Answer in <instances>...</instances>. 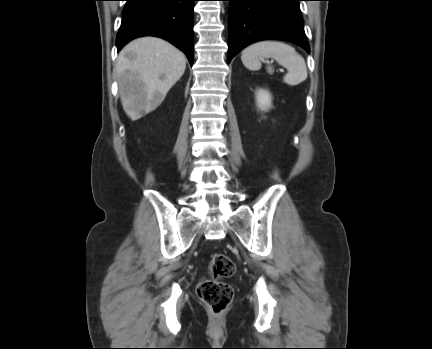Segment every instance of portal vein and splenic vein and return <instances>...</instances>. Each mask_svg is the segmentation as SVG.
<instances>
[{"label":"portal vein and splenic vein","instance_id":"18ae733b","mask_svg":"<svg viewBox=\"0 0 432 349\" xmlns=\"http://www.w3.org/2000/svg\"><path fill=\"white\" fill-rule=\"evenodd\" d=\"M267 63H269V61H267ZM280 71H281V72H284V69H281Z\"/></svg>","mask_w":432,"mask_h":349}]
</instances>
